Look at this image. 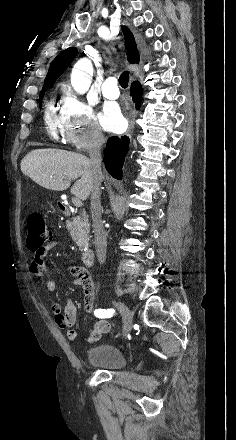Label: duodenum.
<instances>
[{
    "instance_id": "duodenum-1",
    "label": "duodenum",
    "mask_w": 236,
    "mask_h": 440,
    "mask_svg": "<svg viewBox=\"0 0 236 440\" xmlns=\"http://www.w3.org/2000/svg\"><path fill=\"white\" fill-rule=\"evenodd\" d=\"M58 206L63 214L65 215L70 214V210L68 206L63 201H59ZM94 258H95L94 251L91 248H88L82 253L81 261L85 267L91 268L94 264Z\"/></svg>"
}]
</instances>
